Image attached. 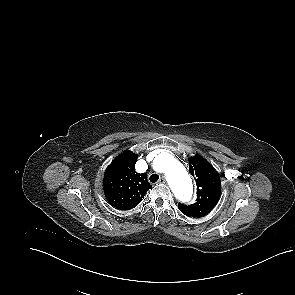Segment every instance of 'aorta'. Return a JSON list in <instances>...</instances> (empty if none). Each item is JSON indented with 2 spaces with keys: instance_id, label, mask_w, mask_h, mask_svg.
<instances>
[{
  "instance_id": "aorta-1",
  "label": "aorta",
  "mask_w": 295,
  "mask_h": 295,
  "mask_svg": "<svg viewBox=\"0 0 295 295\" xmlns=\"http://www.w3.org/2000/svg\"><path fill=\"white\" fill-rule=\"evenodd\" d=\"M157 161L176 198L183 202L189 201L192 196L193 186L184 166L168 153L160 154Z\"/></svg>"
}]
</instances>
